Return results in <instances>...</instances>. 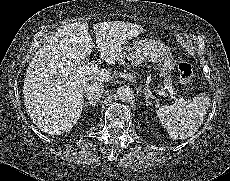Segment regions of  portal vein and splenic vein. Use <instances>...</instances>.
<instances>
[{"label": "portal vein and splenic vein", "instance_id": "obj_1", "mask_svg": "<svg viewBox=\"0 0 230 181\" xmlns=\"http://www.w3.org/2000/svg\"><path fill=\"white\" fill-rule=\"evenodd\" d=\"M97 67H98L97 64H92L90 66L89 65H82V66H79L78 72L89 75V74L93 73L94 71H96ZM161 94L165 95L164 92H161Z\"/></svg>", "mask_w": 230, "mask_h": 181}]
</instances>
